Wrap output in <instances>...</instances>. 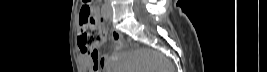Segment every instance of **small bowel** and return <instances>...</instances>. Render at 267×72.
Here are the masks:
<instances>
[{"label": "small bowel", "instance_id": "1", "mask_svg": "<svg viewBox=\"0 0 267 72\" xmlns=\"http://www.w3.org/2000/svg\"><path fill=\"white\" fill-rule=\"evenodd\" d=\"M98 13V8H96ZM112 39L117 48L120 46V37L117 34L112 35ZM85 67L89 68L91 72H107L109 58L106 54L100 56L98 50L92 54H85L81 57Z\"/></svg>", "mask_w": 267, "mask_h": 72}]
</instances>
